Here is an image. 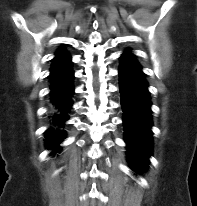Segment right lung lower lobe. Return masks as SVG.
<instances>
[{
	"mask_svg": "<svg viewBox=\"0 0 197 206\" xmlns=\"http://www.w3.org/2000/svg\"><path fill=\"white\" fill-rule=\"evenodd\" d=\"M74 72L69 64L61 71L50 77V98L52 103L51 124L52 127L45 133L48 148L57 151L59 144L65 138V122L69 119L68 113L72 106L71 97L74 93L72 81Z\"/></svg>",
	"mask_w": 197,
	"mask_h": 206,
	"instance_id": "right-lung-lower-lobe-1",
	"label": "right lung lower lobe"
}]
</instances>
